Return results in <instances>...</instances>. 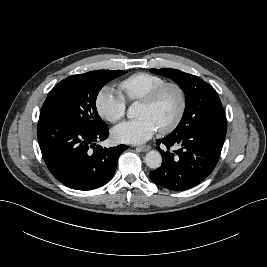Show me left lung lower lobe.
<instances>
[{
    "instance_id": "left-lung-lower-lobe-1",
    "label": "left lung lower lobe",
    "mask_w": 267,
    "mask_h": 267,
    "mask_svg": "<svg viewBox=\"0 0 267 267\" xmlns=\"http://www.w3.org/2000/svg\"><path fill=\"white\" fill-rule=\"evenodd\" d=\"M227 126L197 127L190 131L168 135L158 140L168 151L162 154L161 166L150 172L151 180L167 189L181 191L201 183L215 168L226 136ZM181 148L173 152L172 146Z\"/></svg>"
}]
</instances>
